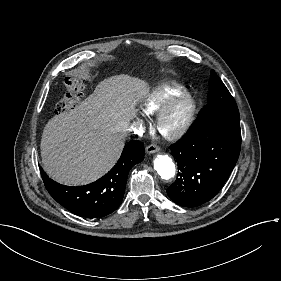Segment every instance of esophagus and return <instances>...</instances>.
Instances as JSON below:
<instances>
[{"label":"esophagus","mask_w":281,"mask_h":281,"mask_svg":"<svg viewBox=\"0 0 281 281\" xmlns=\"http://www.w3.org/2000/svg\"><path fill=\"white\" fill-rule=\"evenodd\" d=\"M160 151V147L155 145V144H150L147 148H146V152L149 154H153Z\"/></svg>","instance_id":"34e87169"}]
</instances>
